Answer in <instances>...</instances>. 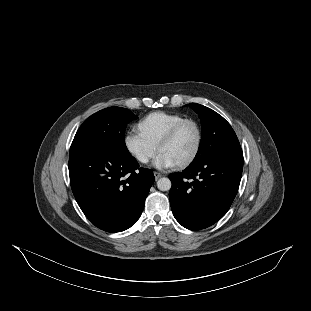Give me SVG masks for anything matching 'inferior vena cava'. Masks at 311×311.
Instances as JSON below:
<instances>
[{
	"label": "inferior vena cava",
	"instance_id": "inferior-vena-cava-1",
	"mask_svg": "<svg viewBox=\"0 0 311 311\" xmlns=\"http://www.w3.org/2000/svg\"><path fill=\"white\" fill-rule=\"evenodd\" d=\"M142 161H143V162H146V161H147V159H146V158H145V159H142Z\"/></svg>",
	"mask_w": 311,
	"mask_h": 311
}]
</instances>
